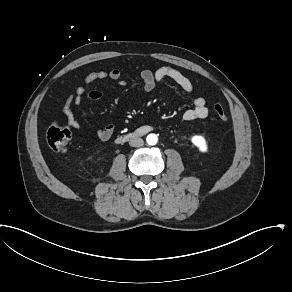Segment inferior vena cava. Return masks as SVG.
Listing matches in <instances>:
<instances>
[{"label":"inferior vena cava","mask_w":292,"mask_h":292,"mask_svg":"<svg viewBox=\"0 0 292 292\" xmlns=\"http://www.w3.org/2000/svg\"><path fill=\"white\" fill-rule=\"evenodd\" d=\"M129 145L132 147H141L144 145V141L139 137H134L130 139Z\"/></svg>","instance_id":"inferior-vena-cava-1"}]
</instances>
